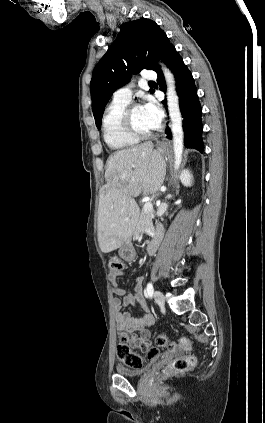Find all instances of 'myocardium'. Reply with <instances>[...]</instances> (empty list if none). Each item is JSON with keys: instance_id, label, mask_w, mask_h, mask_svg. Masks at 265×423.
I'll list each match as a JSON object with an SVG mask.
<instances>
[{"instance_id": "myocardium-1", "label": "myocardium", "mask_w": 265, "mask_h": 423, "mask_svg": "<svg viewBox=\"0 0 265 423\" xmlns=\"http://www.w3.org/2000/svg\"><path fill=\"white\" fill-rule=\"evenodd\" d=\"M141 107L138 103L129 104L126 106L121 115V124L123 129L132 137L140 140L146 139L153 135L157 128L148 132H141L137 130L132 122L131 113L134 109Z\"/></svg>"}]
</instances>
